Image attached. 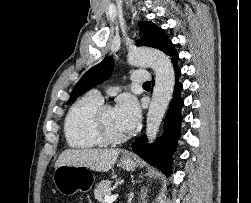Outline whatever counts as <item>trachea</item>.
<instances>
[{"label":"trachea","mask_w":251,"mask_h":203,"mask_svg":"<svg viewBox=\"0 0 251 203\" xmlns=\"http://www.w3.org/2000/svg\"><path fill=\"white\" fill-rule=\"evenodd\" d=\"M143 86H151V83H150V82H145V83L143 84Z\"/></svg>","instance_id":"1"}]
</instances>
